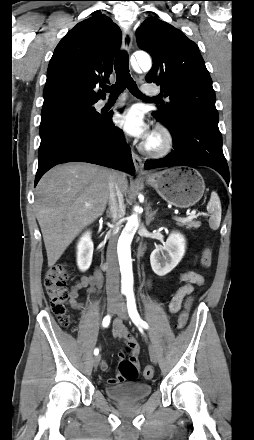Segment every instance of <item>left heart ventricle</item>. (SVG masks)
<instances>
[{"mask_svg":"<svg viewBox=\"0 0 254 440\" xmlns=\"http://www.w3.org/2000/svg\"><path fill=\"white\" fill-rule=\"evenodd\" d=\"M149 139L151 140L152 143L157 142V138L155 136H151Z\"/></svg>","mask_w":254,"mask_h":440,"instance_id":"b2bd125f","label":"left heart ventricle"}]
</instances>
